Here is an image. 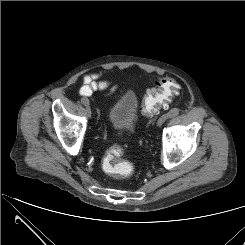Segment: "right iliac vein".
Instances as JSON below:
<instances>
[{
    "label": "right iliac vein",
    "mask_w": 245,
    "mask_h": 245,
    "mask_svg": "<svg viewBox=\"0 0 245 245\" xmlns=\"http://www.w3.org/2000/svg\"><path fill=\"white\" fill-rule=\"evenodd\" d=\"M81 102L83 105H85L87 107L88 110H90L89 108V100L87 98H82Z\"/></svg>",
    "instance_id": "obj_1"
}]
</instances>
